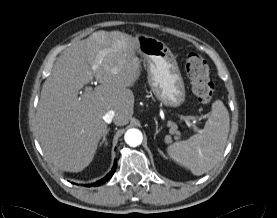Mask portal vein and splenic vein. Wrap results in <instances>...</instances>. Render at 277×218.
Here are the masks:
<instances>
[{
  "mask_svg": "<svg viewBox=\"0 0 277 218\" xmlns=\"http://www.w3.org/2000/svg\"><path fill=\"white\" fill-rule=\"evenodd\" d=\"M90 90H92L91 87H87V88H86V91H90ZM183 119L185 120V122H186V124L188 125V127H191V126H192V123L189 122L187 118H183ZM170 133H171V134H176V133H178V132H177V126H176V125H171Z\"/></svg>",
  "mask_w": 277,
  "mask_h": 218,
  "instance_id": "1",
  "label": "portal vein and splenic vein"
}]
</instances>
